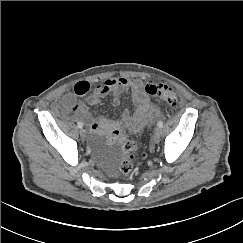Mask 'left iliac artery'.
<instances>
[{"mask_svg": "<svg viewBox=\"0 0 243 243\" xmlns=\"http://www.w3.org/2000/svg\"><path fill=\"white\" fill-rule=\"evenodd\" d=\"M157 126H158L159 128H162V127H163V122H162V121H158Z\"/></svg>", "mask_w": 243, "mask_h": 243, "instance_id": "44dca946", "label": "left iliac artery"}]
</instances>
